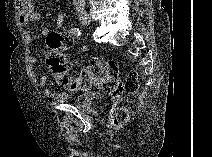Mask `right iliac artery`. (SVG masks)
Here are the masks:
<instances>
[{"instance_id": "right-iliac-artery-1", "label": "right iliac artery", "mask_w": 212, "mask_h": 157, "mask_svg": "<svg viewBox=\"0 0 212 157\" xmlns=\"http://www.w3.org/2000/svg\"><path fill=\"white\" fill-rule=\"evenodd\" d=\"M71 34L76 36V37H79L81 35V30L79 28H72Z\"/></svg>"}]
</instances>
